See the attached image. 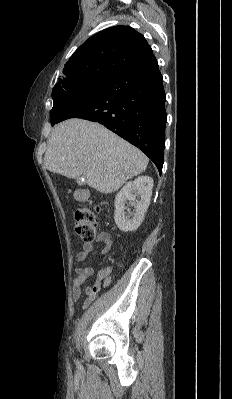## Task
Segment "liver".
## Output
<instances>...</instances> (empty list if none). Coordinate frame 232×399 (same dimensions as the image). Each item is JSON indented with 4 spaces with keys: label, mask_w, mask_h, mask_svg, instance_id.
Instances as JSON below:
<instances>
[{
    "label": "liver",
    "mask_w": 232,
    "mask_h": 399,
    "mask_svg": "<svg viewBox=\"0 0 232 399\" xmlns=\"http://www.w3.org/2000/svg\"><path fill=\"white\" fill-rule=\"evenodd\" d=\"M149 158L104 126L87 120H66L55 126L44 156L50 172L67 178L86 176L102 194L117 192L127 180L145 172Z\"/></svg>",
    "instance_id": "obj_1"
}]
</instances>
